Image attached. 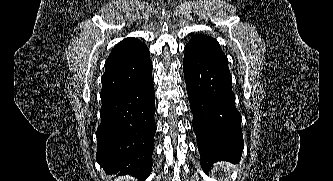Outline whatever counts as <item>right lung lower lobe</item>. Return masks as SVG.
Segmentation results:
<instances>
[{
	"label": "right lung lower lobe",
	"instance_id": "1",
	"mask_svg": "<svg viewBox=\"0 0 333 181\" xmlns=\"http://www.w3.org/2000/svg\"><path fill=\"white\" fill-rule=\"evenodd\" d=\"M101 100L97 162L106 173L145 180L152 169L155 134L152 74Z\"/></svg>",
	"mask_w": 333,
	"mask_h": 181
}]
</instances>
